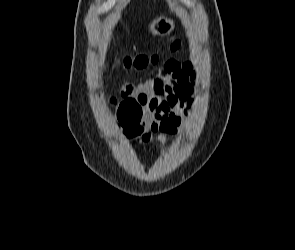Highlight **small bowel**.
<instances>
[{"instance_id": "1", "label": "small bowel", "mask_w": 295, "mask_h": 250, "mask_svg": "<svg viewBox=\"0 0 295 250\" xmlns=\"http://www.w3.org/2000/svg\"><path fill=\"white\" fill-rule=\"evenodd\" d=\"M196 73L190 62L167 60L157 76L139 84L127 83L120 89L122 98L137 100L143 109L141 123L125 129L126 139L149 142L156 139L167 144L171 135L177 134L187 123L194 106Z\"/></svg>"}]
</instances>
